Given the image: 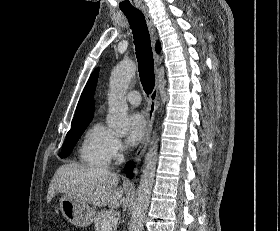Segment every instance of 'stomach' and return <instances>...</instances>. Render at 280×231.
Returning <instances> with one entry per match:
<instances>
[{"mask_svg": "<svg viewBox=\"0 0 280 231\" xmlns=\"http://www.w3.org/2000/svg\"><path fill=\"white\" fill-rule=\"evenodd\" d=\"M59 201L62 213L70 223L78 227H87L92 223L95 211L86 201H81L79 197H72V195H62Z\"/></svg>", "mask_w": 280, "mask_h": 231, "instance_id": "stomach-1", "label": "stomach"}]
</instances>
